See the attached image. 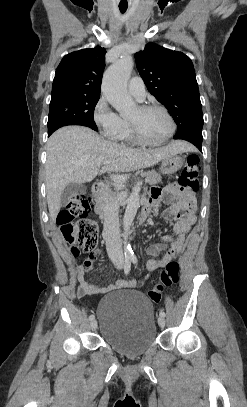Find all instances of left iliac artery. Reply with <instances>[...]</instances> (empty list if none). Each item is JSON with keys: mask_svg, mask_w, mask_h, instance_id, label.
I'll return each instance as SVG.
<instances>
[{"mask_svg": "<svg viewBox=\"0 0 247 407\" xmlns=\"http://www.w3.org/2000/svg\"><path fill=\"white\" fill-rule=\"evenodd\" d=\"M130 259H131V261H132L134 264H137L138 260H137V257H136L135 255H131V256H130ZM159 315H160L161 317H165V312L161 310V311L159 312Z\"/></svg>", "mask_w": 247, "mask_h": 407, "instance_id": "obj_1", "label": "left iliac artery"}]
</instances>
